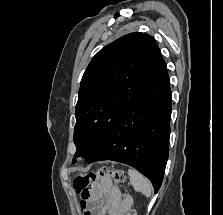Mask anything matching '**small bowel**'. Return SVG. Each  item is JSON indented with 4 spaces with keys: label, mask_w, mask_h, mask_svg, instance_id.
<instances>
[{
    "label": "small bowel",
    "mask_w": 223,
    "mask_h": 215,
    "mask_svg": "<svg viewBox=\"0 0 223 215\" xmlns=\"http://www.w3.org/2000/svg\"><path fill=\"white\" fill-rule=\"evenodd\" d=\"M133 200L122 195L110 178H103L92 185L83 195L84 215H126Z\"/></svg>",
    "instance_id": "1"
}]
</instances>
